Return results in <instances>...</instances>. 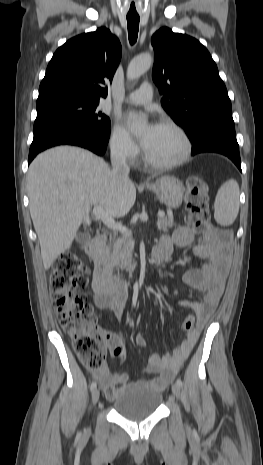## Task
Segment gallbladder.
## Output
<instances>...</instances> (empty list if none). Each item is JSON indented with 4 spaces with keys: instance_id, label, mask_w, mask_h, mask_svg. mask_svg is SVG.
Here are the masks:
<instances>
[{
    "instance_id": "bac80fb5",
    "label": "gallbladder",
    "mask_w": 263,
    "mask_h": 465,
    "mask_svg": "<svg viewBox=\"0 0 263 465\" xmlns=\"http://www.w3.org/2000/svg\"><path fill=\"white\" fill-rule=\"evenodd\" d=\"M75 238L77 242L84 244L90 239V236L87 233H79Z\"/></svg>"
}]
</instances>
